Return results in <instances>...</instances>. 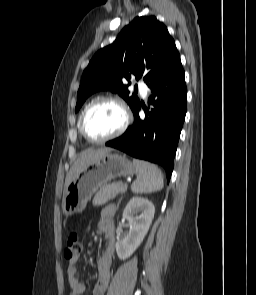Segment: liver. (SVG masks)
Returning <instances> with one entry per match:
<instances>
[{
    "mask_svg": "<svg viewBox=\"0 0 256 295\" xmlns=\"http://www.w3.org/2000/svg\"><path fill=\"white\" fill-rule=\"evenodd\" d=\"M111 151L112 150L110 148H98L88 149L81 152L66 176L65 190L81 170H83L87 165H89L93 161L99 159L107 153H110Z\"/></svg>",
    "mask_w": 256,
    "mask_h": 295,
    "instance_id": "obj_1",
    "label": "liver"
}]
</instances>
